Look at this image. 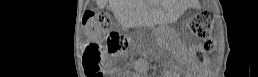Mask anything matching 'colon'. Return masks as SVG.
<instances>
[{
	"mask_svg": "<svg viewBox=\"0 0 258 77\" xmlns=\"http://www.w3.org/2000/svg\"><path fill=\"white\" fill-rule=\"evenodd\" d=\"M190 28L204 41L205 51H211L214 47L210 38L212 15L208 12L194 15L190 20ZM83 31L88 40L84 49L85 73L88 77H101L104 48L112 54L122 52L128 48L129 38L124 33L113 30L110 16L103 12H87L84 16Z\"/></svg>",
	"mask_w": 258,
	"mask_h": 77,
	"instance_id": "1",
	"label": "colon"
}]
</instances>
